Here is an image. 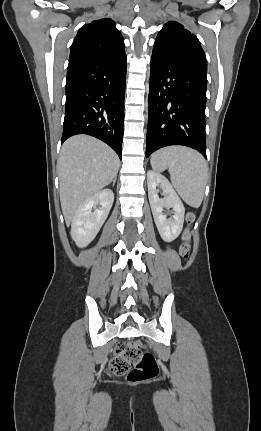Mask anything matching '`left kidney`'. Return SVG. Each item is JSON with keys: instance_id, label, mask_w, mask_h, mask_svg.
<instances>
[{"instance_id": "5707ae66", "label": "left kidney", "mask_w": 261, "mask_h": 431, "mask_svg": "<svg viewBox=\"0 0 261 431\" xmlns=\"http://www.w3.org/2000/svg\"><path fill=\"white\" fill-rule=\"evenodd\" d=\"M148 198L153 218L160 236L166 242L175 240L182 231L185 208L169 181L160 173L150 170L147 172ZM163 190L164 197L159 198L157 187ZM173 208L172 220L163 215V208Z\"/></svg>"}]
</instances>
